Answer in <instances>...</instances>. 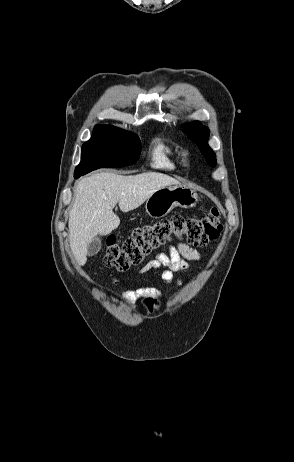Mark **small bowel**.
Here are the masks:
<instances>
[{"instance_id":"obj_1","label":"small bowel","mask_w":294,"mask_h":462,"mask_svg":"<svg viewBox=\"0 0 294 462\" xmlns=\"http://www.w3.org/2000/svg\"><path fill=\"white\" fill-rule=\"evenodd\" d=\"M201 257V253L196 249L190 248L183 243H179L175 247H171L168 253L157 254L152 260L142 266L138 272L139 274H144L151 270H156L160 272L161 278L164 282L168 284L174 283L177 286H180L182 284V280H176L174 273L186 270L188 268V262L198 261ZM113 283L117 284V280H114ZM159 293L160 290L158 289L146 288L126 290L122 292V295L127 299H136L143 294Z\"/></svg>"}]
</instances>
